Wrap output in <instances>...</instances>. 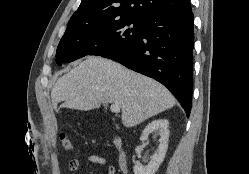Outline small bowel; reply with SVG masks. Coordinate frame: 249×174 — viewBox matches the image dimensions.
Masks as SVG:
<instances>
[{
	"instance_id": "1",
	"label": "small bowel",
	"mask_w": 249,
	"mask_h": 174,
	"mask_svg": "<svg viewBox=\"0 0 249 174\" xmlns=\"http://www.w3.org/2000/svg\"><path fill=\"white\" fill-rule=\"evenodd\" d=\"M85 161L91 164L107 166L108 174L115 173L114 166L108 163L107 159L101 155H96V154L89 155L85 158ZM80 164H81V160L79 158L70 160L68 163V172L70 174H75L79 170Z\"/></svg>"
}]
</instances>
